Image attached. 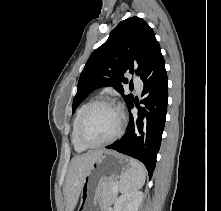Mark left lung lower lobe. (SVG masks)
<instances>
[{
  "instance_id": "obj_1",
  "label": "left lung lower lobe",
  "mask_w": 221,
  "mask_h": 211,
  "mask_svg": "<svg viewBox=\"0 0 221 211\" xmlns=\"http://www.w3.org/2000/svg\"><path fill=\"white\" fill-rule=\"evenodd\" d=\"M141 80L144 82L143 100H141L144 106L139 107L136 104L138 114L133 116L130 113L125 136L107 148L143 162L151 178L167 113L168 78L161 51L154 55ZM133 102L135 101L128 105L129 112L134 107Z\"/></svg>"
}]
</instances>
